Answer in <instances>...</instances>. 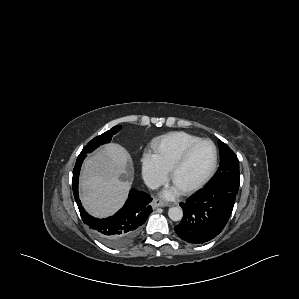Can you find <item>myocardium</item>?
<instances>
[{
  "instance_id": "1",
  "label": "myocardium",
  "mask_w": 299,
  "mask_h": 299,
  "mask_svg": "<svg viewBox=\"0 0 299 299\" xmlns=\"http://www.w3.org/2000/svg\"><path fill=\"white\" fill-rule=\"evenodd\" d=\"M204 143L211 144L214 149V161H213L212 167H211L210 171L208 172V174L202 180H200L196 184H194L186 189L181 190L184 194H190V193H193V192L199 190L200 188L205 186L211 180V178L214 176V174L217 170L218 159H219V152H218V148H217L216 144L210 139H200L199 141L190 145L182 153V155L179 157V159L174 163V165L170 169V180L174 183V178H175L177 172L186 164V162L188 161L192 152L198 146H200L201 144H204Z\"/></svg>"
}]
</instances>
